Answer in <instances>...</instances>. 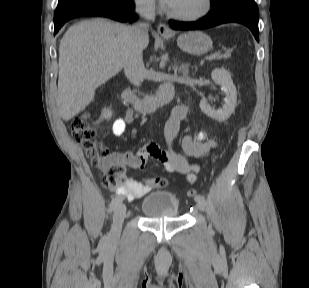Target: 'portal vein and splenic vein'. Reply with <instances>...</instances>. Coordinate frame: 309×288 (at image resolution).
Here are the masks:
<instances>
[{
	"label": "portal vein and splenic vein",
	"mask_w": 309,
	"mask_h": 288,
	"mask_svg": "<svg viewBox=\"0 0 309 288\" xmlns=\"http://www.w3.org/2000/svg\"><path fill=\"white\" fill-rule=\"evenodd\" d=\"M220 51H216L210 55H207L204 60H213L214 58L218 57L220 55Z\"/></svg>",
	"instance_id": "obj_1"
}]
</instances>
